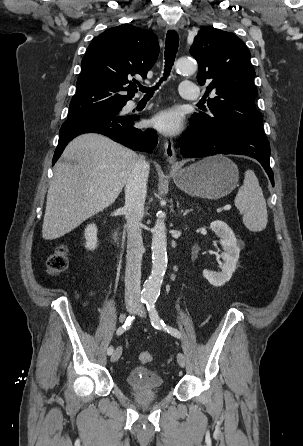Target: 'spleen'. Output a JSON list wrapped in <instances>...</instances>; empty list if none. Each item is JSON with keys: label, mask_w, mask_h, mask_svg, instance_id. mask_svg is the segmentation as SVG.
<instances>
[{"label": "spleen", "mask_w": 303, "mask_h": 446, "mask_svg": "<svg viewBox=\"0 0 303 446\" xmlns=\"http://www.w3.org/2000/svg\"><path fill=\"white\" fill-rule=\"evenodd\" d=\"M234 203L243 215V223L248 230L259 232L266 228V201L254 171L245 172L243 185L239 188Z\"/></svg>", "instance_id": "spleen-1"}]
</instances>
